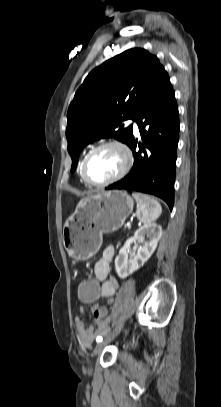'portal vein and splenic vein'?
<instances>
[{
	"label": "portal vein and splenic vein",
	"mask_w": 221,
	"mask_h": 407,
	"mask_svg": "<svg viewBox=\"0 0 221 407\" xmlns=\"http://www.w3.org/2000/svg\"><path fill=\"white\" fill-rule=\"evenodd\" d=\"M128 229H130L131 228V225L130 224H127V226H126Z\"/></svg>",
	"instance_id": "portal-vein-and-splenic-vein-1"
}]
</instances>
